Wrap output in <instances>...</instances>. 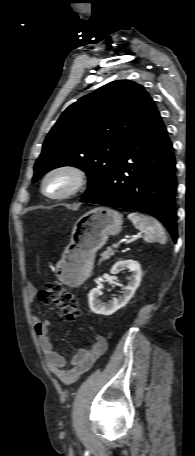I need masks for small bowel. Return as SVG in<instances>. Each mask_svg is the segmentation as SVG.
<instances>
[{
	"label": "small bowel",
	"mask_w": 195,
	"mask_h": 456,
	"mask_svg": "<svg viewBox=\"0 0 195 456\" xmlns=\"http://www.w3.org/2000/svg\"><path fill=\"white\" fill-rule=\"evenodd\" d=\"M36 296V288L29 284L27 286V297L33 302ZM34 329L38 337L39 346L44 354L49 370L65 385L77 382L83 374L91 369L96 360L104 354L107 349L106 339L97 335L94 342L88 349L78 350L70 361L55 351L54 345L48 335L50 320H41L33 317Z\"/></svg>",
	"instance_id": "c3829d8e"
}]
</instances>
